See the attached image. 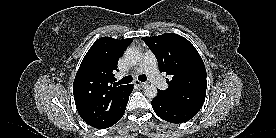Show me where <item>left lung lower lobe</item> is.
Returning a JSON list of instances; mask_svg holds the SVG:
<instances>
[{
    "label": "left lung lower lobe",
    "mask_w": 276,
    "mask_h": 138,
    "mask_svg": "<svg viewBox=\"0 0 276 138\" xmlns=\"http://www.w3.org/2000/svg\"><path fill=\"white\" fill-rule=\"evenodd\" d=\"M151 105L160 118L171 123L187 122L198 113V111L187 109L167 101L159 93L151 101Z\"/></svg>",
    "instance_id": "0a47b994"
}]
</instances>
